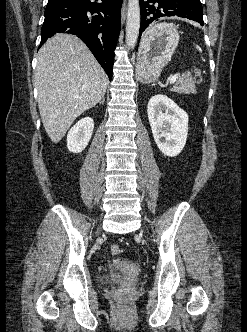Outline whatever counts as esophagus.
<instances>
[{
    "mask_svg": "<svg viewBox=\"0 0 247 332\" xmlns=\"http://www.w3.org/2000/svg\"><path fill=\"white\" fill-rule=\"evenodd\" d=\"M126 12H127V0H124L122 8H121V22L122 23L125 21Z\"/></svg>",
    "mask_w": 247,
    "mask_h": 332,
    "instance_id": "1",
    "label": "esophagus"
}]
</instances>
